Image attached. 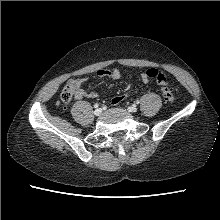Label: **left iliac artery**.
<instances>
[{
	"label": "left iliac artery",
	"mask_w": 220,
	"mask_h": 220,
	"mask_svg": "<svg viewBox=\"0 0 220 220\" xmlns=\"http://www.w3.org/2000/svg\"><path fill=\"white\" fill-rule=\"evenodd\" d=\"M136 104H139L140 103V101L139 100H136V102H135Z\"/></svg>",
	"instance_id": "1"
}]
</instances>
